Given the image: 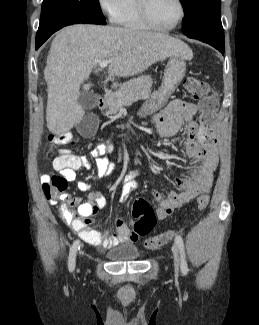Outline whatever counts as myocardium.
<instances>
[{"label": "myocardium", "mask_w": 259, "mask_h": 325, "mask_svg": "<svg viewBox=\"0 0 259 325\" xmlns=\"http://www.w3.org/2000/svg\"><path fill=\"white\" fill-rule=\"evenodd\" d=\"M148 2H149V0H138V8H139V12H140V16H141L142 20L147 25V27L150 29L162 31V32L172 31L179 26V24L183 21V19L185 17V6H184L183 1L176 0L177 4L179 6V16H178L177 20L171 26H168V27L158 26L152 21V19L150 17L149 10H148Z\"/></svg>", "instance_id": "obj_1"}]
</instances>
